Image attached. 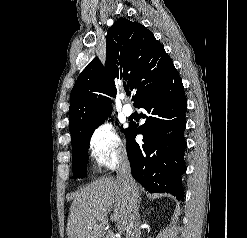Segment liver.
<instances>
[{
    "label": "liver",
    "mask_w": 247,
    "mask_h": 238,
    "mask_svg": "<svg viewBox=\"0 0 247 238\" xmlns=\"http://www.w3.org/2000/svg\"><path fill=\"white\" fill-rule=\"evenodd\" d=\"M139 197L140 188L136 185ZM120 232L126 230L130 214V198L123 185L113 177L92 181L76 193L67 223L68 238H101L108 213Z\"/></svg>",
    "instance_id": "1"
}]
</instances>
